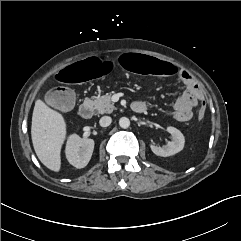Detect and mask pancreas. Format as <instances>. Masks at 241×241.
Returning a JSON list of instances; mask_svg holds the SVG:
<instances>
[{
	"label": "pancreas",
	"instance_id": "obj_1",
	"mask_svg": "<svg viewBox=\"0 0 241 241\" xmlns=\"http://www.w3.org/2000/svg\"><path fill=\"white\" fill-rule=\"evenodd\" d=\"M91 104L97 114L111 113L115 109L109 94L97 97L95 100L91 101Z\"/></svg>",
	"mask_w": 241,
	"mask_h": 241
}]
</instances>
